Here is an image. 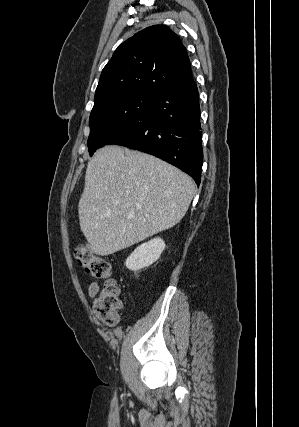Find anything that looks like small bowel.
<instances>
[{
    "label": "small bowel",
    "instance_id": "obj_1",
    "mask_svg": "<svg viewBox=\"0 0 299 427\" xmlns=\"http://www.w3.org/2000/svg\"><path fill=\"white\" fill-rule=\"evenodd\" d=\"M98 290H99L98 282L97 281L91 282L88 287L89 296L91 298H94L97 295Z\"/></svg>",
    "mask_w": 299,
    "mask_h": 427
}]
</instances>
